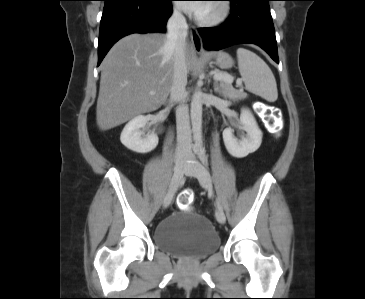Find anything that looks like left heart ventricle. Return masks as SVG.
<instances>
[{
  "label": "left heart ventricle",
  "mask_w": 365,
  "mask_h": 299,
  "mask_svg": "<svg viewBox=\"0 0 365 299\" xmlns=\"http://www.w3.org/2000/svg\"><path fill=\"white\" fill-rule=\"evenodd\" d=\"M215 6L214 4H208L206 10L204 11V13L201 15L202 17H209L211 16L212 14L215 13Z\"/></svg>",
  "instance_id": "1"
}]
</instances>
